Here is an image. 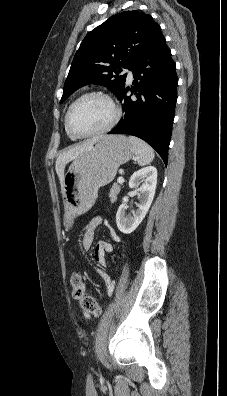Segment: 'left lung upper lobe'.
I'll use <instances>...</instances> for the list:
<instances>
[{
    "mask_svg": "<svg viewBox=\"0 0 227 396\" xmlns=\"http://www.w3.org/2000/svg\"><path fill=\"white\" fill-rule=\"evenodd\" d=\"M163 36L149 14L133 10L111 16L92 30L76 52L60 103L86 84L106 86L117 97L126 74L142 54Z\"/></svg>",
    "mask_w": 227,
    "mask_h": 396,
    "instance_id": "1",
    "label": "left lung upper lobe"
}]
</instances>
